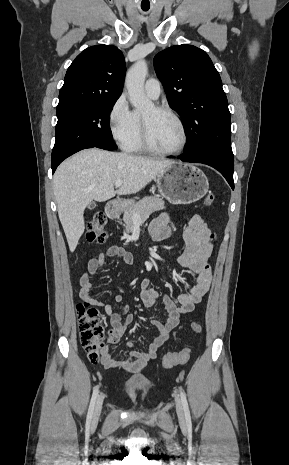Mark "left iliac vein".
Here are the masks:
<instances>
[{"instance_id": "1", "label": "left iliac vein", "mask_w": 289, "mask_h": 465, "mask_svg": "<svg viewBox=\"0 0 289 465\" xmlns=\"http://www.w3.org/2000/svg\"><path fill=\"white\" fill-rule=\"evenodd\" d=\"M176 412L181 422H185L184 409L181 400L176 397Z\"/></svg>"}]
</instances>
